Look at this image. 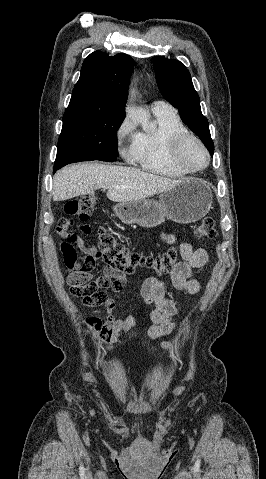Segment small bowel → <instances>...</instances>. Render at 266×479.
Returning <instances> with one entry per match:
<instances>
[{
  "label": "small bowel",
  "mask_w": 266,
  "mask_h": 479,
  "mask_svg": "<svg viewBox=\"0 0 266 479\" xmlns=\"http://www.w3.org/2000/svg\"><path fill=\"white\" fill-rule=\"evenodd\" d=\"M163 240L167 244H173L176 240L173 234H164ZM70 243L76 247L79 240H71ZM180 255L182 260L174 267L171 272V282L173 287L183 293L197 294L200 291V283L193 279L192 275L201 269L207 262L208 254L204 248L194 249L189 242L180 244ZM95 258H91L90 264L93 266ZM105 276L120 279L122 285L126 284L124 274L115 271L110 267L103 269ZM70 279V276H69ZM68 279V280H69ZM121 295L125 292L121 290ZM141 296L147 305L152 306L148 313V318L152 325L148 328V334L152 338H160L174 331L178 324L173 317L179 312L180 308L176 302L165 297V287L161 281L154 277L147 278L141 286ZM85 305L88 303L83 300ZM107 311L106 319L103 321L94 312L86 319V326L92 331L96 344L106 345L108 354L113 351V344L117 341L120 332H130L136 326V320L133 316L118 318L114 315L116 308L115 299H108L105 304Z\"/></svg>",
  "instance_id": "c3829d8e"
}]
</instances>
